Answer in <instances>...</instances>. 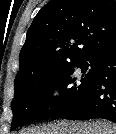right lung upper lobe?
Segmentation results:
<instances>
[{
  "label": "right lung upper lobe",
  "mask_w": 116,
  "mask_h": 134,
  "mask_svg": "<svg viewBox=\"0 0 116 134\" xmlns=\"http://www.w3.org/2000/svg\"><path fill=\"white\" fill-rule=\"evenodd\" d=\"M115 45L114 0H52L27 31L14 95L72 64L92 62Z\"/></svg>",
  "instance_id": "obj_1"
}]
</instances>
